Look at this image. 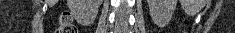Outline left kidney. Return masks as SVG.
I'll list each match as a JSON object with an SVG mask.
<instances>
[{
	"mask_svg": "<svg viewBox=\"0 0 235 33\" xmlns=\"http://www.w3.org/2000/svg\"><path fill=\"white\" fill-rule=\"evenodd\" d=\"M149 11L155 23L167 24L174 13L177 0H147Z\"/></svg>",
	"mask_w": 235,
	"mask_h": 33,
	"instance_id": "left-kidney-1",
	"label": "left kidney"
}]
</instances>
